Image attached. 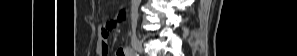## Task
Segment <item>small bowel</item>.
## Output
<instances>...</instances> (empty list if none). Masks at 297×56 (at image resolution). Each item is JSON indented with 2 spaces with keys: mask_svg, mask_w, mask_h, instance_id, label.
<instances>
[{
  "mask_svg": "<svg viewBox=\"0 0 297 56\" xmlns=\"http://www.w3.org/2000/svg\"><path fill=\"white\" fill-rule=\"evenodd\" d=\"M123 19V15L120 14L117 18V20H113L111 22L106 23L103 25L100 29L98 41L96 44V54L98 56H107L109 54V47L107 43L108 36L113 28L116 27L118 22ZM118 56H124L126 55L125 51L119 50L117 52Z\"/></svg>",
  "mask_w": 297,
  "mask_h": 56,
  "instance_id": "c3829d8e",
  "label": "small bowel"
}]
</instances>
